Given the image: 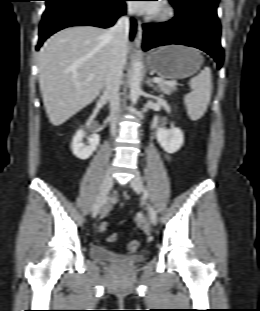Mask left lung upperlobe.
<instances>
[{
	"instance_id": "1",
	"label": "left lung upper lobe",
	"mask_w": 260,
	"mask_h": 311,
	"mask_svg": "<svg viewBox=\"0 0 260 311\" xmlns=\"http://www.w3.org/2000/svg\"><path fill=\"white\" fill-rule=\"evenodd\" d=\"M219 0H170L174 8L180 12L189 9H200L217 18Z\"/></svg>"
}]
</instances>
